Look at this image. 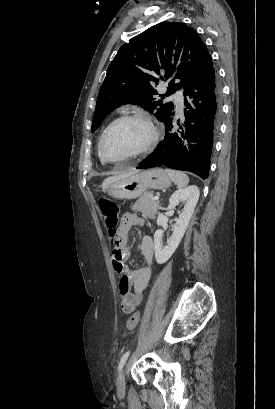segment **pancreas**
Listing matches in <instances>:
<instances>
[{
  "label": "pancreas",
  "instance_id": "pancreas-1",
  "mask_svg": "<svg viewBox=\"0 0 275 409\" xmlns=\"http://www.w3.org/2000/svg\"><path fill=\"white\" fill-rule=\"evenodd\" d=\"M157 207H159V200H153V190H145L136 200L132 211H141L148 219H155Z\"/></svg>",
  "mask_w": 275,
  "mask_h": 409
}]
</instances>
